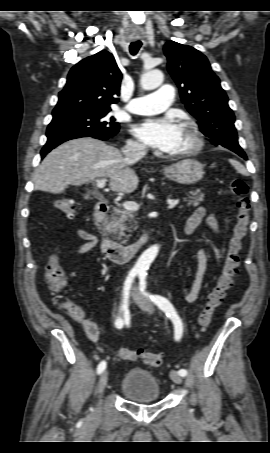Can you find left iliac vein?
Wrapping results in <instances>:
<instances>
[{
    "instance_id": "1",
    "label": "left iliac vein",
    "mask_w": 270,
    "mask_h": 453,
    "mask_svg": "<svg viewBox=\"0 0 270 453\" xmlns=\"http://www.w3.org/2000/svg\"><path fill=\"white\" fill-rule=\"evenodd\" d=\"M131 296L134 302L146 313L153 314L154 308L150 301L140 292L137 287H133L131 290ZM170 378L176 384L182 383V376L178 374L175 370L170 371Z\"/></svg>"
}]
</instances>
